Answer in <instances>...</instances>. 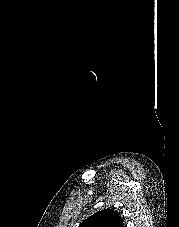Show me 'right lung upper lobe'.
Instances as JSON below:
<instances>
[{"label":"right lung upper lobe","mask_w":179,"mask_h":227,"mask_svg":"<svg viewBox=\"0 0 179 227\" xmlns=\"http://www.w3.org/2000/svg\"><path fill=\"white\" fill-rule=\"evenodd\" d=\"M78 227H124V224L116 211L104 209L89 216Z\"/></svg>","instance_id":"1"}]
</instances>
